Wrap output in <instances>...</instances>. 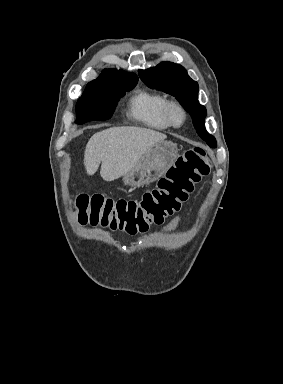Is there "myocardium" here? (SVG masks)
I'll list each match as a JSON object with an SVG mask.
<instances>
[{"instance_id": "myocardium-1", "label": "myocardium", "mask_w": 283, "mask_h": 384, "mask_svg": "<svg viewBox=\"0 0 283 384\" xmlns=\"http://www.w3.org/2000/svg\"><path fill=\"white\" fill-rule=\"evenodd\" d=\"M179 111L181 113L182 119L180 123L175 122L173 118L174 111ZM164 118L167 124L173 128H179L183 126L187 120V112L183 105L177 100H168L163 111Z\"/></svg>"}]
</instances>
